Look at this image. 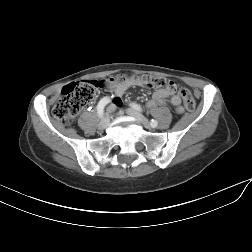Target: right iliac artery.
<instances>
[{"instance_id":"82829eb1","label":"right iliac artery","mask_w":252,"mask_h":252,"mask_svg":"<svg viewBox=\"0 0 252 252\" xmlns=\"http://www.w3.org/2000/svg\"><path fill=\"white\" fill-rule=\"evenodd\" d=\"M111 101L110 97H104L100 100V102L97 105V114L100 118L104 115V108L105 106Z\"/></svg>"}]
</instances>
